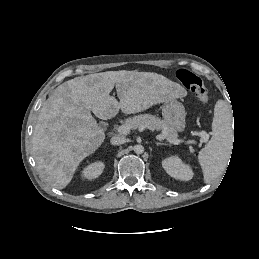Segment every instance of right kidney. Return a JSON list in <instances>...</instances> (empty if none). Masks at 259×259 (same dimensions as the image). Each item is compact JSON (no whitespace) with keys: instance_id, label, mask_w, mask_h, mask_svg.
Wrapping results in <instances>:
<instances>
[{"instance_id":"right-kidney-1","label":"right kidney","mask_w":259,"mask_h":259,"mask_svg":"<svg viewBox=\"0 0 259 259\" xmlns=\"http://www.w3.org/2000/svg\"><path fill=\"white\" fill-rule=\"evenodd\" d=\"M104 170V163L94 162L83 170V176L89 180L99 177Z\"/></svg>"}]
</instances>
